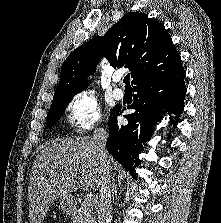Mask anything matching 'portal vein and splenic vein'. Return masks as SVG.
I'll return each instance as SVG.
<instances>
[{
    "label": "portal vein and splenic vein",
    "instance_id": "portal-vein-and-splenic-vein-1",
    "mask_svg": "<svg viewBox=\"0 0 221 223\" xmlns=\"http://www.w3.org/2000/svg\"><path fill=\"white\" fill-rule=\"evenodd\" d=\"M85 201L89 204H92L95 199H94V196L92 194V192H88L86 195H85Z\"/></svg>",
    "mask_w": 221,
    "mask_h": 223
}]
</instances>
